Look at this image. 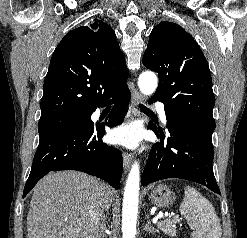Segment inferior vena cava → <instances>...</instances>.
Returning a JSON list of instances; mask_svg holds the SVG:
<instances>
[{"mask_svg": "<svg viewBox=\"0 0 247 238\" xmlns=\"http://www.w3.org/2000/svg\"><path fill=\"white\" fill-rule=\"evenodd\" d=\"M104 188L105 185L99 182L97 191L88 205L90 238H106V218L104 211L107 205Z\"/></svg>", "mask_w": 247, "mask_h": 238, "instance_id": "obj_1", "label": "inferior vena cava"}]
</instances>
